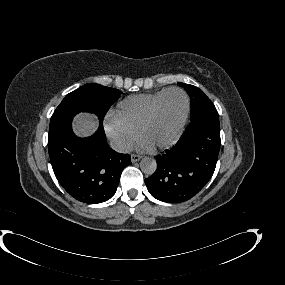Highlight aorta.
<instances>
[{
  "label": "aorta",
  "instance_id": "762f6f07",
  "mask_svg": "<svg viewBox=\"0 0 285 285\" xmlns=\"http://www.w3.org/2000/svg\"><path fill=\"white\" fill-rule=\"evenodd\" d=\"M140 168L143 173L152 175L157 169L156 160L152 157H144L140 162Z\"/></svg>",
  "mask_w": 285,
  "mask_h": 285
}]
</instances>
